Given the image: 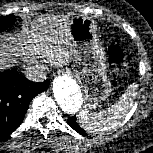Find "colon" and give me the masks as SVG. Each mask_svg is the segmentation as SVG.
<instances>
[{"label":"colon","instance_id":"1","mask_svg":"<svg viewBox=\"0 0 153 153\" xmlns=\"http://www.w3.org/2000/svg\"><path fill=\"white\" fill-rule=\"evenodd\" d=\"M108 61L116 72H125L128 69V60L119 46L112 45L108 49Z\"/></svg>","mask_w":153,"mask_h":153}]
</instances>
